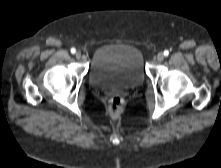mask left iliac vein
Masks as SVG:
<instances>
[{"label":"left iliac vein","mask_w":221,"mask_h":168,"mask_svg":"<svg viewBox=\"0 0 221 168\" xmlns=\"http://www.w3.org/2000/svg\"><path fill=\"white\" fill-rule=\"evenodd\" d=\"M157 60H158L159 62H161V61L164 60V54H163L162 52H160V53L157 54Z\"/></svg>","instance_id":"obj_1"}]
</instances>
